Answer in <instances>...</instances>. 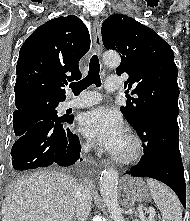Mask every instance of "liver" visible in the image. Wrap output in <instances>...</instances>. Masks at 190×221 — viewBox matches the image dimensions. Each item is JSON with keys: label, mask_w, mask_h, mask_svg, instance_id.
Here are the masks:
<instances>
[{"label": "liver", "mask_w": 190, "mask_h": 221, "mask_svg": "<svg viewBox=\"0 0 190 221\" xmlns=\"http://www.w3.org/2000/svg\"><path fill=\"white\" fill-rule=\"evenodd\" d=\"M77 182L61 172L39 171L15 182L2 204V221H72Z\"/></svg>", "instance_id": "obj_1"}]
</instances>
